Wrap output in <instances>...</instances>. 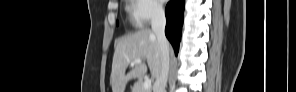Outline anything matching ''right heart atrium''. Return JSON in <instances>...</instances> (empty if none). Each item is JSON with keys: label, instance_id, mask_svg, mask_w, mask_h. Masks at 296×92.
Returning a JSON list of instances; mask_svg holds the SVG:
<instances>
[{"label": "right heart atrium", "instance_id": "obj_1", "mask_svg": "<svg viewBox=\"0 0 296 92\" xmlns=\"http://www.w3.org/2000/svg\"><path fill=\"white\" fill-rule=\"evenodd\" d=\"M163 8L158 1L133 0L130 6V15L138 25H146L160 18Z\"/></svg>", "mask_w": 296, "mask_h": 92}]
</instances>
